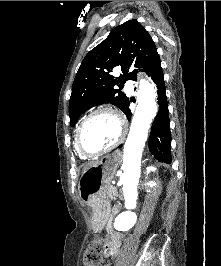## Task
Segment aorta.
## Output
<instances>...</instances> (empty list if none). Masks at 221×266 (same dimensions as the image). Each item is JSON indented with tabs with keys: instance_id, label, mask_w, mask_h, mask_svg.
I'll return each instance as SVG.
<instances>
[{
	"instance_id": "obj_1",
	"label": "aorta",
	"mask_w": 221,
	"mask_h": 266,
	"mask_svg": "<svg viewBox=\"0 0 221 266\" xmlns=\"http://www.w3.org/2000/svg\"><path fill=\"white\" fill-rule=\"evenodd\" d=\"M156 88L153 83L140 80L138 105L134 113L128 138L124 144L123 174L120 178L123 184L125 207L115 221L118 230H127L136 221V215L131 210L135 208L138 197L137 185L140 177L142 151L147 140L150 124L157 114Z\"/></svg>"
}]
</instances>
